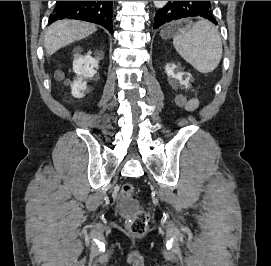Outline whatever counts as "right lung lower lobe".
Segmentation results:
<instances>
[{
    "label": "right lung lower lobe",
    "instance_id": "obj_1",
    "mask_svg": "<svg viewBox=\"0 0 271 266\" xmlns=\"http://www.w3.org/2000/svg\"><path fill=\"white\" fill-rule=\"evenodd\" d=\"M64 18L93 22L113 32L112 1H57L49 23Z\"/></svg>",
    "mask_w": 271,
    "mask_h": 266
}]
</instances>
